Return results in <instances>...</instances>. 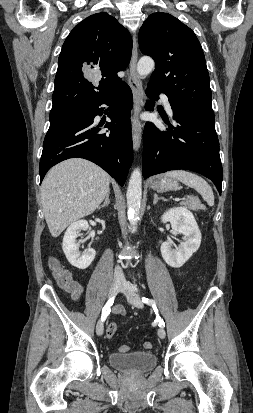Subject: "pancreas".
Masks as SVG:
<instances>
[{
  "label": "pancreas",
  "instance_id": "pancreas-1",
  "mask_svg": "<svg viewBox=\"0 0 253 413\" xmlns=\"http://www.w3.org/2000/svg\"><path fill=\"white\" fill-rule=\"evenodd\" d=\"M181 204L194 211H198L203 207L197 197H187Z\"/></svg>",
  "mask_w": 253,
  "mask_h": 413
}]
</instances>
